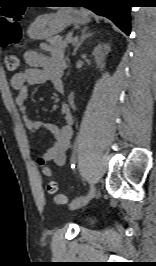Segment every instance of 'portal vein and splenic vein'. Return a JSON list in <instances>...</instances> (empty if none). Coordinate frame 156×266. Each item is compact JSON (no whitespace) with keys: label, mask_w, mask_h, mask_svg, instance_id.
<instances>
[{"label":"portal vein and splenic vein","mask_w":156,"mask_h":266,"mask_svg":"<svg viewBox=\"0 0 156 266\" xmlns=\"http://www.w3.org/2000/svg\"><path fill=\"white\" fill-rule=\"evenodd\" d=\"M68 41H69V42H74V43H75V42L77 41V39H74V38H71V37H70V38H68Z\"/></svg>","instance_id":"1"}]
</instances>
